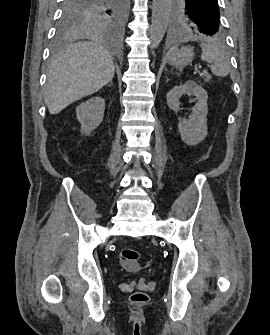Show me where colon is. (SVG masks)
<instances>
[{
    "mask_svg": "<svg viewBox=\"0 0 270 335\" xmlns=\"http://www.w3.org/2000/svg\"><path fill=\"white\" fill-rule=\"evenodd\" d=\"M121 264L126 269H134L138 265L139 251L135 248H123L120 252ZM131 300L138 304L148 301L149 297L144 292H133Z\"/></svg>",
    "mask_w": 270,
    "mask_h": 335,
    "instance_id": "obj_1",
    "label": "colon"
}]
</instances>
